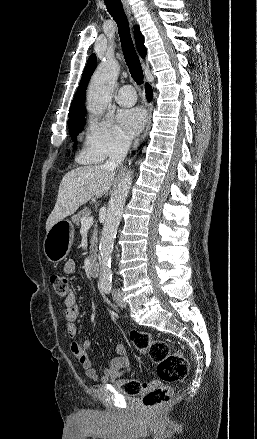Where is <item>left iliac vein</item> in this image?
I'll return each instance as SVG.
<instances>
[{"mask_svg": "<svg viewBox=\"0 0 257 439\" xmlns=\"http://www.w3.org/2000/svg\"><path fill=\"white\" fill-rule=\"evenodd\" d=\"M112 294H113V298H114L115 302L118 304V306H120V307H122V308H124V307L127 306V303H126V301L123 299V296H122V294H121L120 291H118V290L113 291Z\"/></svg>", "mask_w": 257, "mask_h": 439, "instance_id": "obj_1", "label": "left iliac vein"}]
</instances>
